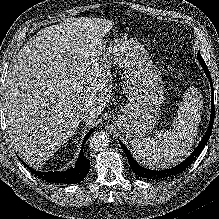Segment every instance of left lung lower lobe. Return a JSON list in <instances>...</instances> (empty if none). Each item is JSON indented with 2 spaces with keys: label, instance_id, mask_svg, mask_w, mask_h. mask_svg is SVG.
<instances>
[{
  "label": "left lung lower lobe",
  "instance_id": "obj_1",
  "mask_svg": "<svg viewBox=\"0 0 219 219\" xmlns=\"http://www.w3.org/2000/svg\"><path fill=\"white\" fill-rule=\"evenodd\" d=\"M201 66L203 67L205 73L207 74V77L210 81L211 84V89H212V102H211V116H210V122H209V126L207 129L206 134L204 135L203 139L201 140V142L199 143L198 147L193 151V153L182 163H180L179 165L171 168V169H167V170H161V171H153V170H149L146 169L144 167H141L131 156L130 152L128 151V149L126 148V146L124 144L121 143L122 149L124 150V152L126 153V156L128 158L130 167L132 169V171L145 179H153V180H158V179H167L169 177L175 176L181 172H183L187 167H189L193 161L196 159V157L202 152V150L204 149L208 139L210 138L211 132H212V127H213V122H214V93H213V84H212V80L210 77V73L207 69V66L203 60V58H198Z\"/></svg>",
  "mask_w": 219,
  "mask_h": 219
}]
</instances>
